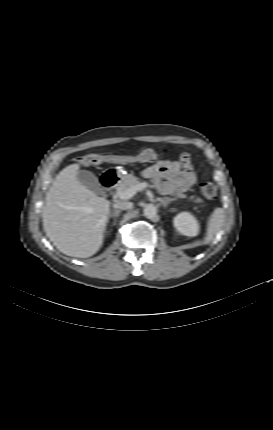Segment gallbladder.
<instances>
[{
    "mask_svg": "<svg viewBox=\"0 0 273 430\" xmlns=\"http://www.w3.org/2000/svg\"><path fill=\"white\" fill-rule=\"evenodd\" d=\"M78 180L87 188L91 189L96 193L102 192L103 188L100 185L97 177L90 171L80 170L77 174Z\"/></svg>",
    "mask_w": 273,
    "mask_h": 430,
    "instance_id": "bac80fb5",
    "label": "gallbladder"
}]
</instances>
